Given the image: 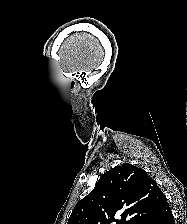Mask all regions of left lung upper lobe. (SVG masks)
<instances>
[{
    "instance_id": "5c2ea615",
    "label": "left lung upper lobe",
    "mask_w": 187,
    "mask_h": 224,
    "mask_svg": "<svg viewBox=\"0 0 187 224\" xmlns=\"http://www.w3.org/2000/svg\"><path fill=\"white\" fill-rule=\"evenodd\" d=\"M162 194L145 170L131 164L116 166L76 204L67 224H147Z\"/></svg>"
}]
</instances>
